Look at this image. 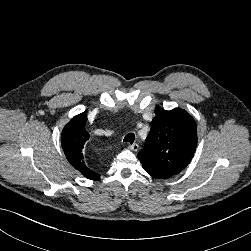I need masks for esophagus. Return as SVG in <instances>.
Here are the masks:
<instances>
[{"label": "esophagus", "mask_w": 251, "mask_h": 251, "mask_svg": "<svg viewBox=\"0 0 251 251\" xmlns=\"http://www.w3.org/2000/svg\"><path fill=\"white\" fill-rule=\"evenodd\" d=\"M132 151H137L139 149V145L137 143H134L130 145L129 147Z\"/></svg>", "instance_id": "obj_1"}]
</instances>
